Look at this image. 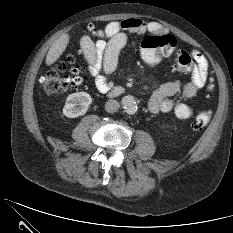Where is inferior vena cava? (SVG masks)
I'll return each mask as SVG.
<instances>
[{
  "label": "inferior vena cava",
  "mask_w": 233,
  "mask_h": 233,
  "mask_svg": "<svg viewBox=\"0 0 233 233\" xmlns=\"http://www.w3.org/2000/svg\"><path fill=\"white\" fill-rule=\"evenodd\" d=\"M120 107V104L117 100H108L105 104V110L109 113L116 112Z\"/></svg>",
  "instance_id": "obj_1"
}]
</instances>
